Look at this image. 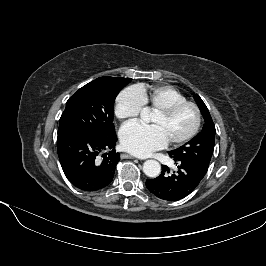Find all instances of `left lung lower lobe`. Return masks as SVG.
Listing matches in <instances>:
<instances>
[{
	"instance_id": "obj_1",
	"label": "left lung lower lobe",
	"mask_w": 266,
	"mask_h": 266,
	"mask_svg": "<svg viewBox=\"0 0 266 266\" xmlns=\"http://www.w3.org/2000/svg\"><path fill=\"white\" fill-rule=\"evenodd\" d=\"M174 160L177 162L178 172L169 174V168L162 165V172L157 178L146 180L147 189L156 197L167 201H177L186 197L204 177L185 163L175 158Z\"/></svg>"
}]
</instances>
